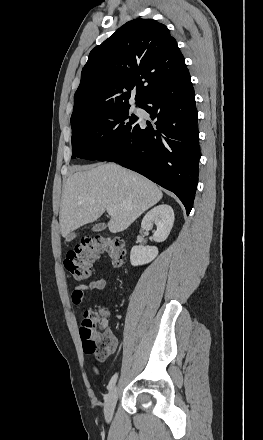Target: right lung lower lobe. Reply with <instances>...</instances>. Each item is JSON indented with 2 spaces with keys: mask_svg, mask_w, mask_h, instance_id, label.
Listing matches in <instances>:
<instances>
[{
  "mask_svg": "<svg viewBox=\"0 0 263 440\" xmlns=\"http://www.w3.org/2000/svg\"><path fill=\"white\" fill-rule=\"evenodd\" d=\"M140 107L155 127L137 124L98 157L134 170L175 193L190 213L199 173V132L194 89L188 69L150 92Z\"/></svg>",
  "mask_w": 263,
  "mask_h": 440,
  "instance_id": "right-lung-lower-lobe-1",
  "label": "right lung lower lobe"
}]
</instances>
